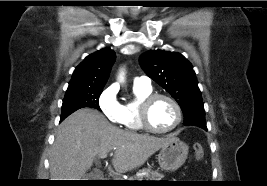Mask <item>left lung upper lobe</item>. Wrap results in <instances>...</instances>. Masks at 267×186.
<instances>
[{"label": "left lung upper lobe", "mask_w": 267, "mask_h": 186, "mask_svg": "<svg viewBox=\"0 0 267 186\" xmlns=\"http://www.w3.org/2000/svg\"><path fill=\"white\" fill-rule=\"evenodd\" d=\"M146 74L180 105L184 125L207 129L201 92L191 63L180 53L149 50L140 56Z\"/></svg>", "instance_id": "1"}]
</instances>
